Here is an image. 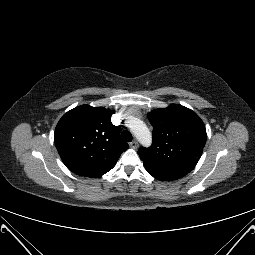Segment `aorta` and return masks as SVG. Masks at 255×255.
Masks as SVG:
<instances>
[{
  "mask_svg": "<svg viewBox=\"0 0 255 255\" xmlns=\"http://www.w3.org/2000/svg\"><path fill=\"white\" fill-rule=\"evenodd\" d=\"M130 129L136 139L144 146H150L152 143V135L146 124L138 118H132Z\"/></svg>",
  "mask_w": 255,
  "mask_h": 255,
  "instance_id": "1",
  "label": "aorta"
}]
</instances>
